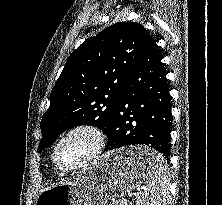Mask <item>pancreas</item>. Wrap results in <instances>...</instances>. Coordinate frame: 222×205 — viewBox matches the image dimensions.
<instances>
[{
	"label": "pancreas",
	"instance_id": "pancreas-1",
	"mask_svg": "<svg viewBox=\"0 0 222 205\" xmlns=\"http://www.w3.org/2000/svg\"><path fill=\"white\" fill-rule=\"evenodd\" d=\"M111 205H128V203L123 200H114Z\"/></svg>",
	"mask_w": 222,
	"mask_h": 205
}]
</instances>
